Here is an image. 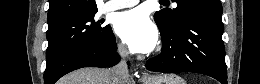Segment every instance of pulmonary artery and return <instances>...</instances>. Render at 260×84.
I'll return each mask as SVG.
<instances>
[{
	"instance_id": "pulmonary-artery-1",
	"label": "pulmonary artery",
	"mask_w": 260,
	"mask_h": 84,
	"mask_svg": "<svg viewBox=\"0 0 260 84\" xmlns=\"http://www.w3.org/2000/svg\"><path fill=\"white\" fill-rule=\"evenodd\" d=\"M139 1L137 0H111L106 2L101 10L103 12L115 11L122 8H128L136 5Z\"/></svg>"
}]
</instances>
